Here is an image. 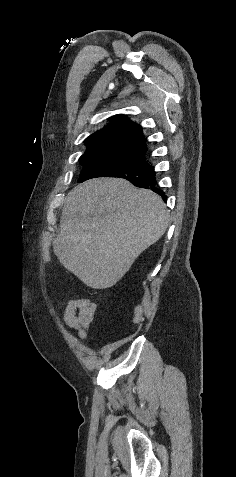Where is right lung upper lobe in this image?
<instances>
[{"label":"right lung upper lobe","mask_w":236,"mask_h":477,"mask_svg":"<svg viewBox=\"0 0 236 477\" xmlns=\"http://www.w3.org/2000/svg\"><path fill=\"white\" fill-rule=\"evenodd\" d=\"M110 120V124L85 140L88 150L79 161L106 160L128 167L136 164L132 161L135 157L142 156L144 160L147 147L141 127L124 115L113 116Z\"/></svg>","instance_id":"cb5924a9"}]
</instances>
